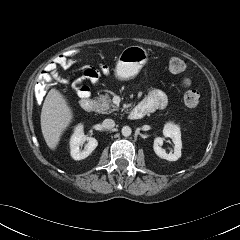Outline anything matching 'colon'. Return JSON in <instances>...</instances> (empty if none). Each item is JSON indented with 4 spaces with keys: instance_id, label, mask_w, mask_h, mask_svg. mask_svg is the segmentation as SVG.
<instances>
[{
    "instance_id": "obj_1",
    "label": "colon",
    "mask_w": 240,
    "mask_h": 240,
    "mask_svg": "<svg viewBox=\"0 0 240 240\" xmlns=\"http://www.w3.org/2000/svg\"><path fill=\"white\" fill-rule=\"evenodd\" d=\"M80 50L79 49H71L68 50L57 58L59 61L64 64L67 68L79 65L82 60L79 58ZM187 67V63L185 60L179 57H173L169 61V70L172 73H181L185 71ZM82 72V76L75 81V85L77 89H81L84 85L82 84L83 80L89 79L94 73V67L92 65L85 64L80 68ZM184 102L186 106L190 108H195L200 104V95L195 90H188L184 94Z\"/></svg>"
}]
</instances>
